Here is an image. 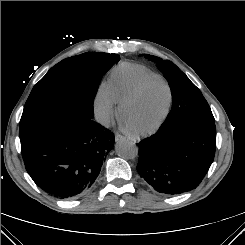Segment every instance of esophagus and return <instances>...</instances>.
Instances as JSON below:
<instances>
[{
	"mask_svg": "<svg viewBox=\"0 0 245 245\" xmlns=\"http://www.w3.org/2000/svg\"><path fill=\"white\" fill-rule=\"evenodd\" d=\"M123 139H125V137H124L123 135H121V134H119V133H116V134H115V141H116V142H118V141H120V140H123Z\"/></svg>",
	"mask_w": 245,
	"mask_h": 245,
	"instance_id": "esophagus-1",
	"label": "esophagus"
}]
</instances>
